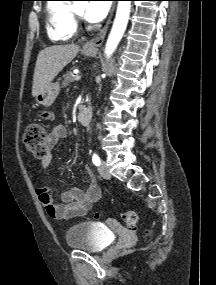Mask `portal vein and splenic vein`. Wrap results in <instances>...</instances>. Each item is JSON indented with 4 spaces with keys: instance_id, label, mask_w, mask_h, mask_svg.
Segmentation results:
<instances>
[{
    "instance_id": "portal-vein-and-splenic-vein-1",
    "label": "portal vein and splenic vein",
    "mask_w": 216,
    "mask_h": 285,
    "mask_svg": "<svg viewBox=\"0 0 216 285\" xmlns=\"http://www.w3.org/2000/svg\"><path fill=\"white\" fill-rule=\"evenodd\" d=\"M74 79H75V81H80L81 80V76L80 75H76Z\"/></svg>"
}]
</instances>
